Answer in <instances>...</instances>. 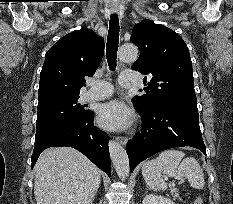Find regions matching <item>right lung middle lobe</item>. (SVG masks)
<instances>
[{"label":"right lung middle lobe","mask_w":233,"mask_h":204,"mask_svg":"<svg viewBox=\"0 0 233 204\" xmlns=\"http://www.w3.org/2000/svg\"><path fill=\"white\" fill-rule=\"evenodd\" d=\"M79 95L57 96L38 103L36 136L60 125L71 124L86 117L90 111L78 103Z\"/></svg>","instance_id":"1"}]
</instances>
